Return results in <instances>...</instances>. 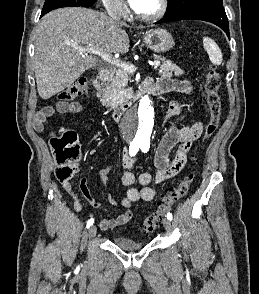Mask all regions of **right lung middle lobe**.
<instances>
[{
    "label": "right lung middle lobe",
    "instance_id": "right-lung-middle-lobe-1",
    "mask_svg": "<svg viewBox=\"0 0 259 294\" xmlns=\"http://www.w3.org/2000/svg\"><path fill=\"white\" fill-rule=\"evenodd\" d=\"M97 0H45L41 15L61 7H90Z\"/></svg>",
    "mask_w": 259,
    "mask_h": 294
}]
</instances>
